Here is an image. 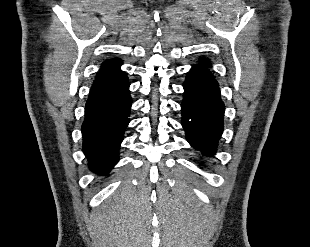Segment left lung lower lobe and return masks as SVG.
<instances>
[{
  "label": "left lung lower lobe",
  "mask_w": 310,
  "mask_h": 247,
  "mask_svg": "<svg viewBox=\"0 0 310 247\" xmlns=\"http://www.w3.org/2000/svg\"><path fill=\"white\" fill-rule=\"evenodd\" d=\"M182 126L190 144L212 155L223 131L224 104L217 81L203 66H194L184 82Z\"/></svg>",
  "instance_id": "0a47b994"
}]
</instances>
